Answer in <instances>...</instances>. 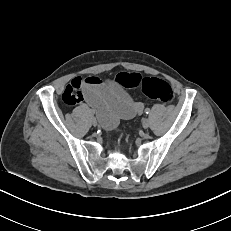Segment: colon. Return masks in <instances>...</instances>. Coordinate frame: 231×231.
I'll return each mask as SVG.
<instances>
[{"mask_svg":"<svg viewBox=\"0 0 231 231\" xmlns=\"http://www.w3.org/2000/svg\"><path fill=\"white\" fill-rule=\"evenodd\" d=\"M114 82L124 90L140 88L142 93L153 100L169 103L173 100V91L169 83L155 77H143L138 73H119Z\"/></svg>","mask_w":231,"mask_h":231,"instance_id":"1","label":"colon"}]
</instances>
